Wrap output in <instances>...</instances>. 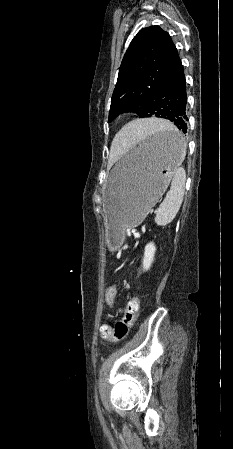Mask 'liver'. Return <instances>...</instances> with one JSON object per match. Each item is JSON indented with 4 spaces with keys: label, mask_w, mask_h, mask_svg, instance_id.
<instances>
[{
    "label": "liver",
    "mask_w": 233,
    "mask_h": 449,
    "mask_svg": "<svg viewBox=\"0 0 233 449\" xmlns=\"http://www.w3.org/2000/svg\"><path fill=\"white\" fill-rule=\"evenodd\" d=\"M154 124H160L164 127H172V125L164 120L158 119H143L131 122L127 124L119 133L114 134V140L112 142L111 153L114 157L117 156V152L126 142H130L134 135L141 133V128L149 127ZM131 136H133L131 138Z\"/></svg>",
    "instance_id": "obj_1"
}]
</instances>
